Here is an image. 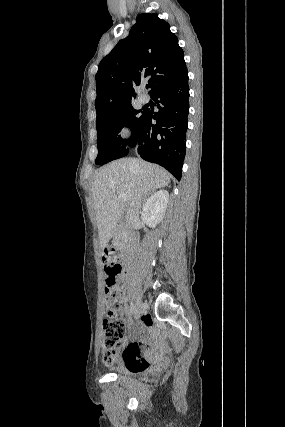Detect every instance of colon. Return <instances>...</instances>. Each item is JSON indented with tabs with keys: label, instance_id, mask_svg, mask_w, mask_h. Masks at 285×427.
I'll return each instance as SVG.
<instances>
[{
	"label": "colon",
	"instance_id": "5ec220e1",
	"mask_svg": "<svg viewBox=\"0 0 285 427\" xmlns=\"http://www.w3.org/2000/svg\"><path fill=\"white\" fill-rule=\"evenodd\" d=\"M104 272L108 288L105 293L106 317L103 320V360L106 364L116 362L121 352L128 351L130 343L124 338L126 323L117 317L122 301V292L118 289L117 283L123 270L122 262L119 258L112 256L105 251L102 256ZM142 367V364H137Z\"/></svg>",
	"mask_w": 285,
	"mask_h": 427
}]
</instances>
